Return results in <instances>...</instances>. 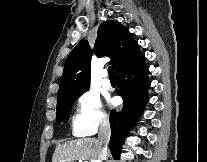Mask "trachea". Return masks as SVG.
I'll list each match as a JSON object with an SVG mask.
<instances>
[{
	"mask_svg": "<svg viewBox=\"0 0 207 162\" xmlns=\"http://www.w3.org/2000/svg\"><path fill=\"white\" fill-rule=\"evenodd\" d=\"M108 73H109V79H115V74L112 66L108 68Z\"/></svg>",
	"mask_w": 207,
	"mask_h": 162,
	"instance_id": "obj_1",
	"label": "trachea"
}]
</instances>
